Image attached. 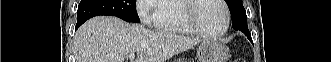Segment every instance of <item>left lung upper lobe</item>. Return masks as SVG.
Wrapping results in <instances>:
<instances>
[{"instance_id":"5c2ea615","label":"left lung upper lobe","mask_w":331,"mask_h":62,"mask_svg":"<svg viewBox=\"0 0 331 62\" xmlns=\"http://www.w3.org/2000/svg\"><path fill=\"white\" fill-rule=\"evenodd\" d=\"M232 16V22L239 24L245 31L249 32L247 27L246 11L243 7L242 0H225Z\"/></svg>"}]
</instances>
